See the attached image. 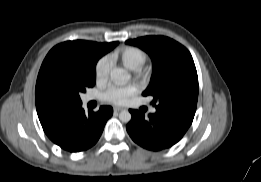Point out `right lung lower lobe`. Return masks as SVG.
<instances>
[{
    "mask_svg": "<svg viewBox=\"0 0 261 182\" xmlns=\"http://www.w3.org/2000/svg\"><path fill=\"white\" fill-rule=\"evenodd\" d=\"M110 106L98 112L85 113L81 103L68 104L41 122L46 135L62 149L79 152L92 147L100 138L107 120L112 116Z\"/></svg>",
    "mask_w": 261,
    "mask_h": 182,
    "instance_id": "right-lung-lower-lobe-1",
    "label": "right lung lower lobe"
}]
</instances>
